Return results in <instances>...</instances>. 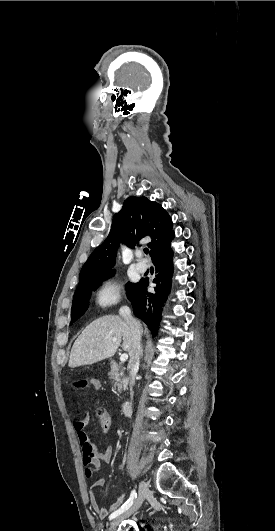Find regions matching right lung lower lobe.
<instances>
[{
    "label": "right lung lower lobe",
    "mask_w": 275,
    "mask_h": 531,
    "mask_svg": "<svg viewBox=\"0 0 275 531\" xmlns=\"http://www.w3.org/2000/svg\"><path fill=\"white\" fill-rule=\"evenodd\" d=\"M173 238L174 232L172 231L170 237L151 255L152 262L156 268V277L153 280L156 284L155 292L149 293L147 291L149 281L148 279H142L135 283L127 294L128 299L132 302L135 316L144 321L154 334L158 332L161 307L169 294L171 286L173 254L170 242Z\"/></svg>",
    "instance_id": "right-lung-lower-lobe-1"
}]
</instances>
